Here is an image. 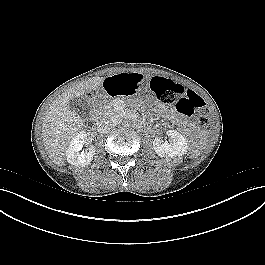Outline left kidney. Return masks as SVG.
<instances>
[{
    "label": "left kidney",
    "instance_id": "left-kidney-1",
    "mask_svg": "<svg viewBox=\"0 0 265 265\" xmlns=\"http://www.w3.org/2000/svg\"><path fill=\"white\" fill-rule=\"evenodd\" d=\"M167 135L170 137L171 142H163L160 137H156L153 141V149L160 157H177L186 154L188 146L186 139L182 134L176 130H168Z\"/></svg>",
    "mask_w": 265,
    "mask_h": 265
}]
</instances>
